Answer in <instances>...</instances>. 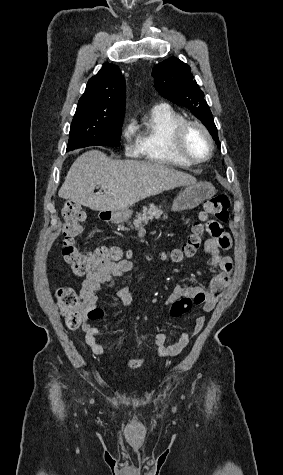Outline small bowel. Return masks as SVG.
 Listing matches in <instances>:
<instances>
[{
	"label": "small bowel",
	"mask_w": 283,
	"mask_h": 475,
	"mask_svg": "<svg viewBox=\"0 0 283 475\" xmlns=\"http://www.w3.org/2000/svg\"><path fill=\"white\" fill-rule=\"evenodd\" d=\"M204 230L208 234V239L204 243V250L209 255L210 266L219 272L213 276L207 286L176 285L166 302L172 305V298H176L177 293H195L196 304L201 305L205 313H210L228 287L233 270L232 259L222 252V248H232L234 243L232 239H228L230 230L227 228L223 219H214L212 222L206 223ZM132 269L133 264L125 259L107 261L100 265L95 271L89 273L82 284L81 296L86 313L82 322L84 341L92 353L97 356L105 354V350L97 338L101 332L110 330V327L105 326L106 319L101 318L103 311L97 307V293L104 284L111 286L114 278L123 279L124 274ZM116 295L124 307L130 306L132 299L126 285L121 286L117 290ZM171 315L173 317L182 316L175 315L172 309ZM205 321L204 315L196 316L193 330L183 329L178 340L169 345H166L167 334L161 330L157 331L153 337V343L157 349L156 357L165 358L178 356L189 344L191 338L202 331ZM146 363V359H132L128 362V367L132 370H137L142 368Z\"/></svg>",
	"instance_id": "c3829d8e"
}]
</instances>
